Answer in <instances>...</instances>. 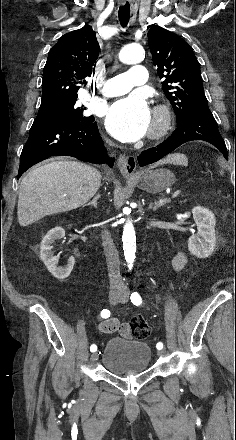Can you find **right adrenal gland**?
<instances>
[{"label": "right adrenal gland", "mask_w": 236, "mask_h": 440, "mask_svg": "<svg viewBox=\"0 0 236 440\" xmlns=\"http://www.w3.org/2000/svg\"><path fill=\"white\" fill-rule=\"evenodd\" d=\"M99 199H100V194H97L90 203L86 204V206L91 205L94 208H98V200Z\"/></svg>", "instance_id": "1"}]
</instances>
